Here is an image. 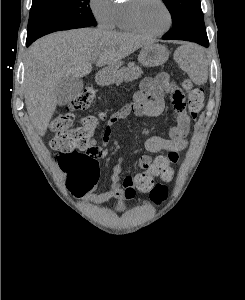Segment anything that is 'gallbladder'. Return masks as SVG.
Returning a JSON list of instances; mask_svg holds the SVG:
<instances>
[{
	"mask_svg": "<svg viewBox=\"0 0 245 300\" xmlns=\"http://www.w3.org/2000/svg\"><path fill=\"white\" fill-rule=\"evenodd\" d=\"M83 88L81 78L69 77L60 80L54 88L57 105L64 106L77 98Z\"/></svg>",
	"mask_w": 245,
	"mask_h": 300,
	"instance_id": "gallbladder-1",
	"label": "gallbladder"
}]
</instances>
